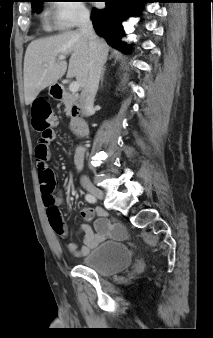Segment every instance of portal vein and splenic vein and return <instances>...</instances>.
Returning a JSON list of instances; mask_svg holds the SVG:
<instances>
[{"label": "portal vein and splenic vein", "mask_w": 213, "mask_h": 338, "mask_svg": "<svg viewBox=\"0 0 213 338\" xmlns=\"http://www.w3.org/2000/svg\"><path fill=\"white\" fill-rule=\"evenodd\" d=\"M65 59V56L64 55H60L59 56V60H64ZM79 83L77 81H73L70 83V86H69V90L73 93L77 92L79 90Z\"/></svg>", "instance_id": "obj_1"}]
</instances>
